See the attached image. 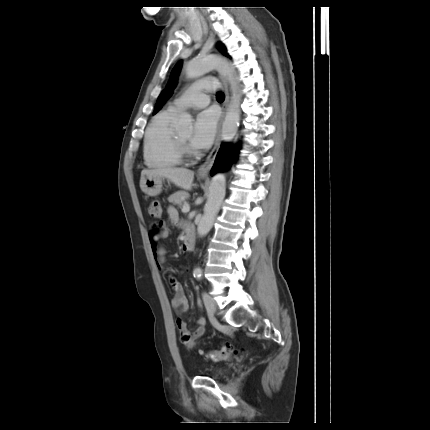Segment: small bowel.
I'll return each mask as SVG.
<instances>
[{"label": "small bowel", "mask_w": 430, "mask_h": 430, "mask_svg": "<svg viewBox=\"0 0 430 430\" xmlns=\"http://www.w3.org/2000/svg\"><path fill=\"white\" fill-rule=\"evenodd\" d=\"M169 222L172 225H178L179 217L176 209L173 207L168 208ZM189 231V230H188ZM168 234L167 228L163 223L152 224L149 230V242L151 245L152 253L156 266L159 270L165 269V255L166 249L160 244V240L165 238ZM174 296L171 300V305L174 310L177 311L178 317L176 319V325L180 331L181 343L188 349L192 350L197 346L198 340L205 333L206 320L204 317L197 319V328L190 332L187 329V323L183 318L189 309L187 297L184 293L182 286L176 282H173Z\"/></svg>", "instance_id": "c3829d8e"}]
</instances>
